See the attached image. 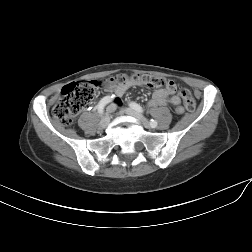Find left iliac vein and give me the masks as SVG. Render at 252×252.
<instances>
[{
	"instance_id": "obj_1",
	"label": "left iliac vein",
	"mask_w": 252,
	"mask_h": 252,
	"mask_svg": "<svg viewBox=\"0 0 252 252\" xmlns=\"http://www.w3.org/2000/svg\"><path fill=\"white\" fill-rule=\"evenodd\" d=\"M110 108H114V105H111ZM124 112L127 115H130L132 117H134L137 121H139L140 123H142L144 126L148 127L149 123L147 121V119L140 113L136 112L134 109L132 108H125Z\"/></svg>"
}]
</instances>
